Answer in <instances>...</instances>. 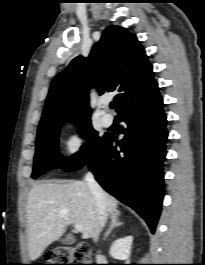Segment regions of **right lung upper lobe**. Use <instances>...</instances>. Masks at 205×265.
Listing matches in <instances>:
<instances>
[{"instance_id": "obj_1", "label": "right lung upper lobe", "mask_w": 205, "mask_h": 265, "mask_svg": "<svg viewBox=\"0 0 205 265\" xmlns=\"http://www.w3.org/2000/svg\"><path fill=\"white\" fill-rule=\"evenodd\" d=\"M117 92L118 114L136 107L158 91L152 65L134 34L120 26H110L102 34L88 58L73 59L51 83L38 131L64 122L90 119L88 92Z\"/></svg>"}]
</instances>
